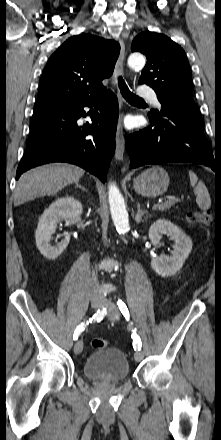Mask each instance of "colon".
Wrapping results in <instances>:
<instances>
[{
  "label": "colon",
  "instance_id": "colon-1",
  "mask_svg": "<svg viewBox=\"0 0 221 440\" xmlns=\"http://www.w3.org/2000/svg\"><path fill=\"white\" fill-rule=\"evenodd\" d=\"M186 218L191 224L209 225L211 222V215L208 212L191 211L187 213ZM91 345L94 349H104L108 346V342L102 338H95L91 341Z\"/></svg>",
  "mask_w": 221,
  "mask_h": 440
}]
</instances>
